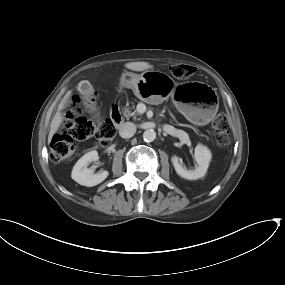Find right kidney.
<instances>
[{
  "mask_svg": "<svg viewBox=\"0 0 285 285\" xmlns=\"http://www.w3.org/2000/svg\"><path fill=\"white\" fill-rule=\"evenodd\" d=\"M99 159L97 151H90L83 155L74 165L71 177L78 184L92 187L103 182L109 175L108 171H102L94 174L88 165Z\"/></svg>",
  "mask_w": 285,
  "mask_h": 285,
  "instance_id": "ca27d5eb",
  "label": "right kidney"
}]
</instances>
